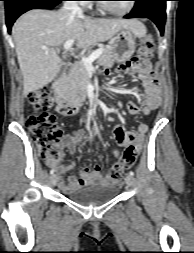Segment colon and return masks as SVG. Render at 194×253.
Instances as JSON below:
<instances>
[{
    "mask_svg": "<svg viewBox=\"0 0 194 253\" xmlns=\"http://www.w3.org/2000/svg\"><path fill=\"white\" fill-rule=\"evenodd\" d=\"M153 53V38L145 36L139 45V54L143 58H148ZM54 101L50 87H42L29 93L28 104L35 110L41 111L39 114L30 115L27 118L26 126L29 129L38 149L39 154L50 161L57 163L62 156L63 134L59 127L57 117L49 113L48 110ZM139 150L130 146L123 154L121 160L116 163L111 175L114 179L120 180L124 171L132 167L138 157Z\"/></svg>",
    "mask_w": 194,
    "mask_h": 253,
    "instance_id": "5ec220e1",
    "label": "colon"
}]
</instances>
